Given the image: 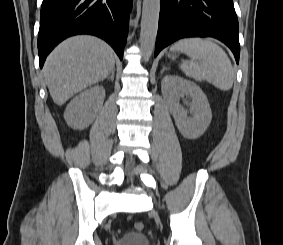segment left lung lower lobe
<instances>
[{
    "label": "left lung lower lobe",
    "mask_w": 283,
    "mask_h": 245,
    "mask_svg": "<svg viewBox=\"0 0 283 245\" xmlns=\"http://www.w3.org/2000/svg\"><path fill=\"white\" fill-rule=\"evenodd\" d=\"M238 19L233 0H161L155 56L185 37H214L225 43L239 63Z\"/></svg>",
    "instance_id": "obj_1"
}]
</instances>
